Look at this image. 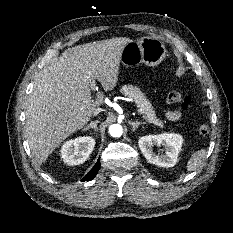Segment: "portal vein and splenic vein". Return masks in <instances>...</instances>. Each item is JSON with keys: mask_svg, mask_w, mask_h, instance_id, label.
I'll return each instance as SVG.
<instances>
[{"mask_svg": "<svg viewBox=\"0 0 233 233\" xmlns=\"http://www.w3.org/2000/svg\"><path fill=\"white\" fill-rule=\"evenodd\" d=\"M90 86H91L92 90H96L97 89L95 80L93 78L90 79Z\"/></svg>", "mask_w": 233, "mask_h": 233, "instance_id": "portal-vein-and-splenic-vein-1", "label": "portal vein and splenic vein"}]
</instances>
